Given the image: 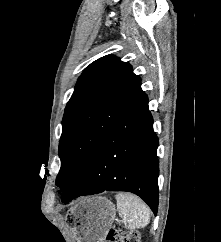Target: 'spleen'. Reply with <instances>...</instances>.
Wrapping results in <instances>:
<instances>
[{"label":"spleen","instance_id":"1","mask_svg":"<svg viewBox=\"0 0 221 242\" xmlns=\"http://www.w3.org/2000/svg\"><path fill=\"white\" fill-rule=\"evenodd\" d=\"M119 216L130 230L144 228L150 221L147 205L136 195L119 193L115 195Z\"/></svg>","mask_w":221,"mask_h":242}]
</instances>
